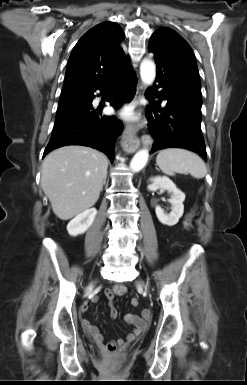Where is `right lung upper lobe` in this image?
Here are the masks:
<instances>
[{
    "mask_svg": "<svg viewBox=\"0 0 247 385\" xmlns=\"http://www.w3.org/2000/svg\"><path fill=\"white\" fill-rule=\"evenodd\" d=\"M123 38L122 28L108 21L85 33L70 55L62 92L91 91L118 75L129 64Z\"/></svg>",
    "mask_w": 247,
    "mask_h": 385,
    "instance_id": "1",
    "label": "right lung upper lobe"
}]
</instances>
